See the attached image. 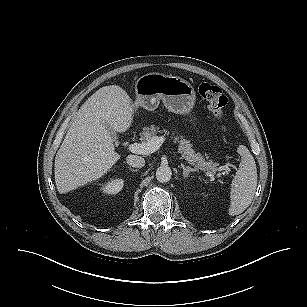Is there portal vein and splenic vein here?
<instances>
[{
  "mask_svg": "<svg viewBox=\"0 0 307 307\" xmlns=\"http://www.w3.org/2000/svg\"><path fill=\"white\" fill-rule=\"evenodd\" d=\"M165 140L164 136H153L146 143H133L129 145L128 149L135 154L148 155L157 151ZM229 168L237 170V167L232 163H227L223 166V170H228Z\"/></svg>",
  "mask_w": 307,
  "mask_h": 307,
  "instance_id": "portal-vein-and-splenic-vein-1",
  "label": "portal vein and splenic vein"
}]
</instances>
